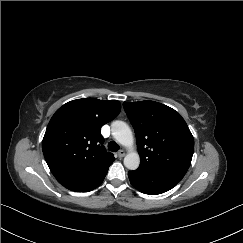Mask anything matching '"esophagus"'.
Segmentation results:
<instances>
[{
    "label": "esophagus",
    "instance_id": "1",
    "mask_svg": "<svg viewBox=\"0 0 243 243\" xmlns=\"http://www.w3.org/2000/svg\"><path fill=\"white\" fill-rule=\"evenodd\" d=\"M126 152L122 149L118 152V157L123 158L125 156Z\"/></svg>",
    "mask_w": 243,
    "mask_h": 243
}]
</instances>
